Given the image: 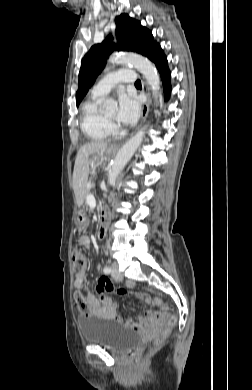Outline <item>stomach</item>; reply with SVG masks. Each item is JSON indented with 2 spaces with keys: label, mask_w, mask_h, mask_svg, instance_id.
I'll return each instance as SVG.
<instances>
[{
  "label": "stomach",
  "mask_w": 252,
  "mask_h": 390,
  "mask_svg": "<svg viewBox=\"0 0 252 390\" xmlns=\"http://www.w3.org/2000/svg\"><path fill=\"white\" fill-rule=\"evenodd\" d=\"M113 149L111 147L109 148H106L103 152H105L107 155H110L112 153ZM102 152H99L98 155H94L92 157V162L94 164H99L101 162V154ZM76 224H77V227L78 228H85L88 224V219L86 217V214L83 212V211H80L78 214H77V217H76Z\"/></svg>",
  "instance_id": "stomach-1"
}]
</instances>
